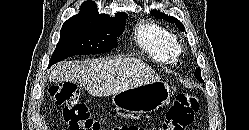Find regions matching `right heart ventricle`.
I'll return each instance as SVG.
<instances>
[{
    "mask_svg": "<svg viewBox=\"0 0 249 130\" xmlns=\"http://www.w3.org/2000/svg\"><path fill=\"white\" fill-rule=\"evenodd\" d=\"M134 34L136 43L152 59L162 63H174L178 60L176 35L164 26L152 21H142Z\"/></svg>",
    "mask_w": 249,
    "mask_h": 130,
    "instance_id": "right-heart-ventricle-1",
    "label": "right heart ventricle"
}]
</instances>
